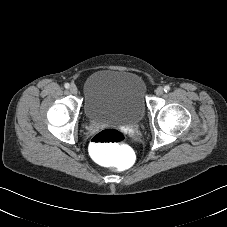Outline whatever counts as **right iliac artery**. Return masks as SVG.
Instances as JSON below:
<instances>
[{"label":"right iliac artery","mask_w":227,"mask_h":227,"mask_svg":"<svg viewBox=\"0 0 227 227\" xmlns=\"http://www.w3.org/2000/svg\"><path fill=\"white\" fill-rule=\"evenodd\" d=\"M64 87H65L66 89H69L70 84H69V83H65V84H64Z\"/></svg>","instance_id":"right-iliac-artery-1"}]
</instances>
